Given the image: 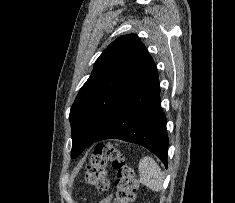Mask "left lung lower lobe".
Returning a JSON list of instances; mask_svg holds the SVG:
<instances>
[{
    "label": "left lung lower lobe",
    "mask_w": 235,
    "mask_h": 203,
    "mask_svg": "<svg viewBox=\"0 0 235 203\" xmlns=\"http://www.w3.org/2000/svg\"><path fill=\"white\" fill-rule=\"evenodd\" d=\"M78 137L81 139L80 151L105 139L139 144L154 153L167 168L169 139L155 63L100 135L95 136L93 132L83 129Z\"/></svg>",
    "instance_id": "obj_1"
}]
</instances>
